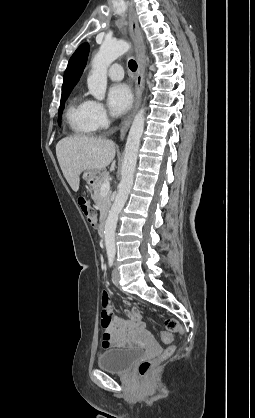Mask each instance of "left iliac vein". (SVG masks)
I'll return each mask as SVG.
<instances>
[{
    "mask_svg": "<svg viewBox=\"0 0 255 418\" xmlns=\"http://www.w3.org/2000/svg\"><path fill=\"white\" fill-rule=\"evenodd\" d=\"M120 279V274L117 268H114L113 272H112V281L114 284H118Z\"/></svg>",
    "mask_w": 255,
    "mask_h": 418,
    "instance_id": "1",
    "label": "left iliac vein"
}]
</instances>
